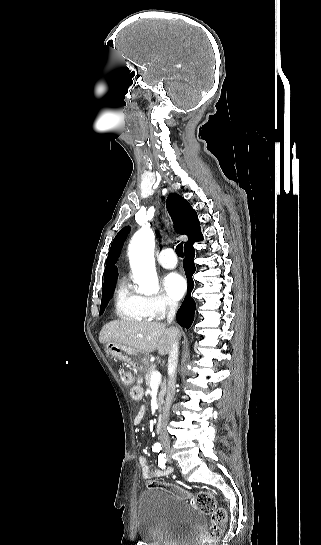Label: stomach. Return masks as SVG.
I'll return each instance as SVG.
<instances>
[{"label": "stomach", "mask_w": 321, "mask_h": 545, "mask_svg": "<svg viewBox=\"0 0 321 545\" xmlns=\"http://www.w3.org/2000/svg\"><path fill=\"white\" fill-rule=\"evenodd\" d=\"M106 351L114 359L128 363L130 367L137 369V371H142V373L150 367L149 353H139V351L125 347V345H119V343H107Z\"/></svg>", "instance_id": "obj_1"}]
</instances>
